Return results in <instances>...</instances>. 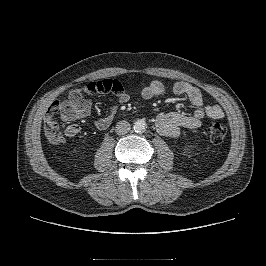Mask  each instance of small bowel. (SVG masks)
<instances>
[{"instance_id":"c3829d8e","label":"small bowel","mask_w":266,"mask_h":266,"mask_svg":"<svg viewBox=\"0 0 266 266\" xmlns=\"http://www.w3.org/2000/svg\"><path fill=\"white\" fill-rule=\"evenodd\" d=\"M164 89L162 82L154 80L143 88L142 97L145 100L151 99L162 94ZM172 91L177 96L186 97L193 106V111L191 114L168 112L158 115L155 127L160 134L170 138H178L185 135L186 132L197 131L206 117L211 119L223 118L222 109L213 104L205 105L200 90L195 86L180 81L173 85ZM129 98L126 92H121L118 95L117 104L112 105L104 117L95 120L94 126L99 130L108 128L117 114L118 105L126 103ZM51 110L59 114L63 123H70L86 118L90 114L91 103L82 95L75 97L69 95L65 101L55 102ZM80 132L81 129L77 125H68L64 129L66 137H76ZM45 133L51 144L57 145L63 141V136L56 131L49 132L45 129Z\"/></svg>"}]
</instances>
